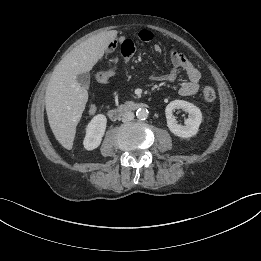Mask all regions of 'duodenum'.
<instances>
[{"label":"duodenum","mask_w":261,"mask_h":261,"mask_svg":"<svg viewBox=\"0 0 261 261\" xmlns=\"http://www.w3.org/2000/svg\"><path fill=\"white\" fill-rule=\"evenodd\" d=\"M145 105L142 103L129 102L119 107L113 108L109 111V116L112 120L119 119L123 114L143 108Z\"/></svg>","instance_id":"410a0bca"}]
</instances>
